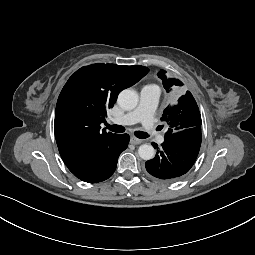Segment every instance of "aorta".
Wrapping results in <instances>:
<instances>
[{"label":"aorta","instance_id":"762f6f07","mask_svg":"<svg viewBox=\"0 0 255 255\" xmlns=\"http://www.w3.org/2000/svg\"><path fill=\"white\" fill-rule=\"evenodd\" d=\"M117 101L124 110H132L137 106L139 97L135 90L127 88L119 93ZM138 154L143 160H150L155 156V149L150 144H143L139 147Z\"/></svg>","mask_w":255,"mask_h":255}]
</instances>
